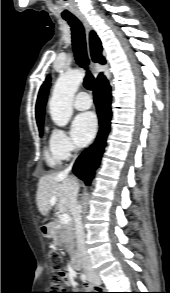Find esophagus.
I'll list each match as a JSON object with an SVG mask.
<instances>
[{"mask_svg": "<svg viewBox=\"0 0 170 293\" xmlns=\"http://www.w3.org/2000/svg\"><path fill=\"white\" fill-rule=\"evenodd\" d=\"M78 19L82 22L84 28H85V31H86V34H87V37H88V34L89 32L91 31V25L89 24L88 20L86 19V17L82 16V15H79L78 16ZM88 54H89V50H88ZM89 58H90V54H89ZM90 66H91V71L93 73V75L96 77L98 75V68H99V64L98 63H95L94 61L91 60L90 58Z\"/></svg>", "mask_w": 170, "mask_h": 293, "instance_id": "1", "label": "esophagus"}]
</instances>
